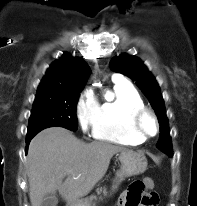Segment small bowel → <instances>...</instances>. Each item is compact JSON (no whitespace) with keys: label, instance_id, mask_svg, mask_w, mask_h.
Segmentation results:
<instances>
[{"label":"small bowel","instance_id":"1","mask_svg":"<svg viewBox=\"0 0 197 206\" xmlns=\"http://www.w3.org/2000/svg\"><path fill=\"white\" fill-rule=\"evenodd\" d=\"M127 194L128 190L122 194L121 198L119 199L118 206H129L127 201ZM149 206H156V204H150Z\"/></svg>","mask_w":197,"mask_h":206}]
</instances>
